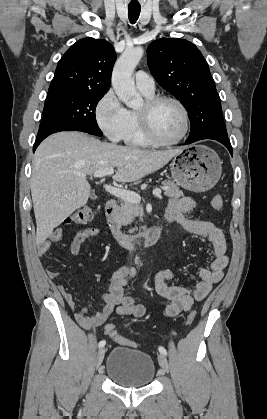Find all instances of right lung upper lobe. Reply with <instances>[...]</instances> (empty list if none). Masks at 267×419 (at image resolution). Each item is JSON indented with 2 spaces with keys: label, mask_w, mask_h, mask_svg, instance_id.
<instances>
[{
  "label": "right lung upper lobe",
  "mask_w": 267,
  "mask_h": 419,
  "mask_svg": "<svg viewBox=\"0 0 267 419\" xmlns=\"http://www.w3.org/2000/svg\"><path fill=\"white\" fill-rule=\"evenodd\" d=\"M115 61L114 48L106 40L81 39L58 62L48 93L107 92Z\"/></svg>",
  "instance_id": "1"
}]
</instances>
